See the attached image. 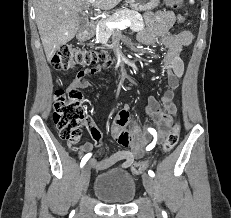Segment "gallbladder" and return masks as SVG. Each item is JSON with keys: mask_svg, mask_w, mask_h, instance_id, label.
<instances>
[{"mask_svg": "<svg viewBox=\"0 0 231 218\" xmlns=\"http://www.w3.org/2000/svg\"><path fill=\"white\" fill-rule=\"evenodd\" d=\"M85 25V20L79 19V26L83 27Z\"/></svg>", "mask_w": 231, "mask_h": 218, "instance_id": "gallbladder-1", "label": "gallbladder"}]
</instances>
